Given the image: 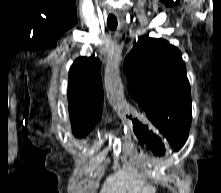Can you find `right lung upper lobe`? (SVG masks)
<instances>
[{
  "instance_id": "cb5924a9",
  "label": "right lung upper lobe",
  "mask_w": 221,
  "mask_h": 193,
  "mask_svg": "<svg viewBox=\"0 0 221 193\" xmlns=\"http://www.w3.org/2000/svg\"><path fill=\"white\" fill-rule=\"evenodd\" d=\"M99 71L100 62L95 56L80 57L70 68L68 101L73 132L101 118L103 86Z\"/></svg>"
}]
</instances>
